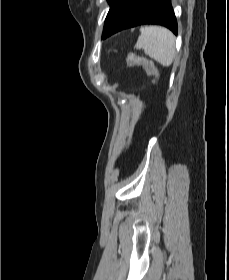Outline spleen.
<instances>
[{
  "label": "spleen",
  "mask_w": 229,
  "mask_h": 280,
  "mask_svg": "<svg viewBox=\"0 0 229 280\" xmlns=\"http://www.w3.org/2000/svg\"><path fill=\"white\" fill-rule=\"evenodd\" d=\"M140 31L135 48L143 49L146 55L163 66H170L175 57L174 35L158 26L142 27Z\"/></svg>",
  "instance_id": "obj_1"
}]
</instances>
